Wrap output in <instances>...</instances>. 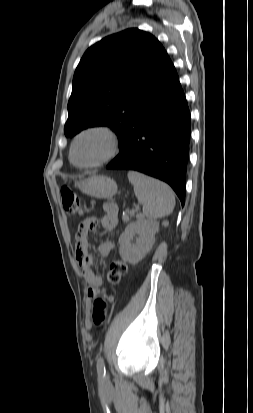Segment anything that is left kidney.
Instances as JSON below:
<instances>
[{
    "label": "left kidney",
    "instance_id": "left-kidney-1",
    "mask_svg": "<svg viewBox=\"0 0 253 413\" xmlns=\"http://www.w3.org/2000/svg\"><path fill=\"white\" fill-rule=\"evenodd\" d=\"M158 229L159 225L156 222L143 218L130 223L119 237V253L123 261L137 264L151 250ZM136 234L139 237L132 243Z\"/></svg>",
    "mask_w": 253,
    "mask_h": 413
}]
</instances>
